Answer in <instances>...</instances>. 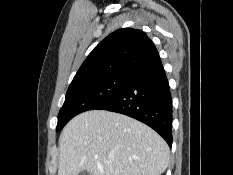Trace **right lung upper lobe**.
Masks as SVG:
<instances>
[{
	"instance_id": "cb5924a9",
	"label": "right lung upper lobe",
	"mask_w": 233,
	"mask_h": 175,
	"mask_svg": "<svg viewBox=\"0 0 233 175\" xmlns=\"http://www.w3.org/2000/svg\"><path fill=\"white\" fill-rule=\"evenodd\" d=\"M160 61L155 45L144 32L123 28L111 33L92 50L72 83L107 74L133 77Z\"/></svg>"
}]
</instances>
